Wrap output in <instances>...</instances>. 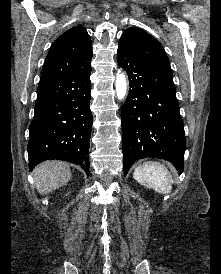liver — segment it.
<instances>
[{"label": "liver", "instance_id": "obj_1", "mask_svg": "<svg viewBox=\"0 0 221 274\" xmlns=\"http://www.w3.org/2000/svg\"><path fill=\"white\" fill-rule=\"evenodd\" d=\"M33 176L37 191L45 195L65 185L72 174L67 163L46 161L35 167Z\"/></svg>", "mask_w": 221, "mask_h": 274}]
</instances>
